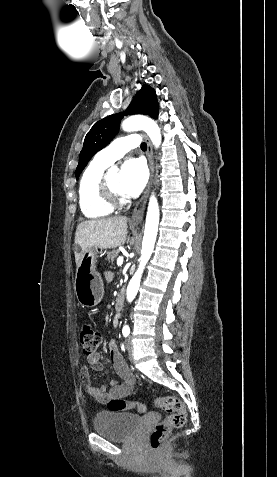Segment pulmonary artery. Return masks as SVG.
<instances>
[{"instance_id": "e3ab8cb5", "label": "pulmonary artery", "mask_w": 277, "mask_h": 477, "mask_svg": "<svg viewBox=\"0 0 277 477\" xmlns=\"http://www.w3.org/2000/svg\"><path fill=\"white\" fill-rule=\"evenodd\" d=\"M139 143L140 138L136 134L120 137L101 150L95 156V160L109 166L124 156L130 149L138 147Z\"/></svg>"}]
</instances>
